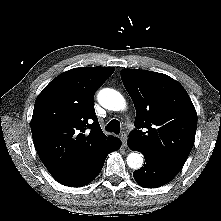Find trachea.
Returning <instances> with one entry per match:
<instances>
[{"instance_id": "1", "label": "trachea", "mask_w": 221, "mask_h": 221, "mask_svg": "<svg viewBox=\"0 0 221 221\" xmlns=\"http://www.w3.org/2000/svg\"><path fill=\"white\" fill-rule=\"evenodd\" d=\"M106 130L108 132H113L115 134H118L120 132V122L116 119L111 120L107 126Z\"/></svg>"}]
</instances>
